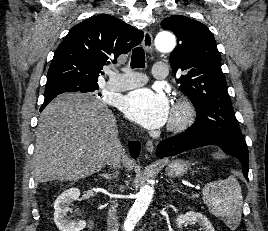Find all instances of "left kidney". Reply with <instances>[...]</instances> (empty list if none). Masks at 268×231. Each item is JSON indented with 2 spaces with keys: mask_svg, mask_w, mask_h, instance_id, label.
I'll list each match as a JSON object with an SVG mask.
<instances>
[{
  "mask_svg": "<svg viewBox=\"0 0 268 231\" xmlns=\"http://www.w3.org/2000/svg\"><path fill=\"white\" fill-rule=\"evenodd\" d=\"M188 223H198L203 231H215L211 222L198 212L189 211L185 214H180L176 219V225L179 229H182V226L187 225Z\"/></svg>",
  "mask_w": 268,
  "mask_h": 231,
  "instance_id": "5707ae66",
  "label": "left kidney"
}]
</instances>
